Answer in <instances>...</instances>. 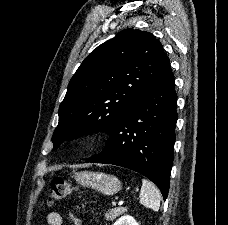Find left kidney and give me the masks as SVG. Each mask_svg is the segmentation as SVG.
I'll return each instance as SVG.
<instances>
[{
	"instance_id": "5707ae66",
	"label": "left kidney",
	"mask_w": 228,
	"mask_h": 225,
	"mask_svg": "<svg viewBox=\"0 0 228 225\" xmlns=\"http://www.w3.org/2000/svg\"><path fill=\"white\" fill-rule=\"evenodd\" d=\"M114 225H138V223L133 217H130V215H123Z\"/></svg>"
}]
</instances>
